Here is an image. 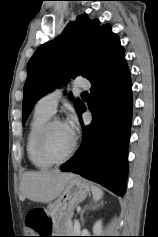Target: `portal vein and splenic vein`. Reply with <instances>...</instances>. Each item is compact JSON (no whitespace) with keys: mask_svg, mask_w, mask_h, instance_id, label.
Instances as JSON below:
<instances>
[{"mask_svg":"<svg viewBox=\"0 0 158 237\" xmlns=\"http://www.w3.org/2000/svg\"><path fill=\"white\" fill-rule=\"evenodd\" d=\"M74 226H75L76 228H80L79 222H78V221H75V222H74Z\"/></svg>","mask_w":158,"mask_h":237,"instance_id":"portal-vein-and-splenic-vein-1","label":"portal vein and splenic vein"}]
</instances>
